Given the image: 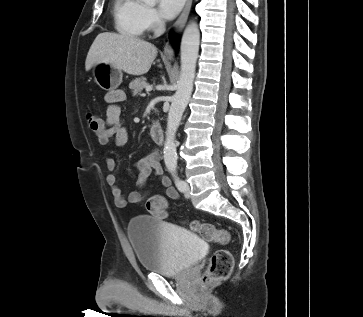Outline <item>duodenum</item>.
<instances>
[{"mask_svg":"<svg viewBox=\"0 0 363 317\" xmlns=\"http://www.w3.org/2000/svg\"><path fill=\"white\" fill-rule=\"evenodd\" d=\"M150 136L157 145L164 142V131L160 123H153L150 127Z\"/></svg>","mask_w":363,"mask_h":317,"instance_id":"1","label":"duodenum"}]
</instances>
